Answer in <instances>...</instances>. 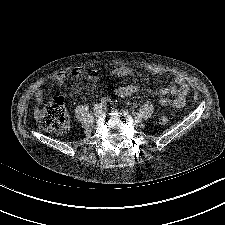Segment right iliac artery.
Segmentation results:
<instances>
[{
  "label": "right iliac artery",
  "instance_id": "1",
  "mask_svg": "<svg viewBox=\"0 0 225 225\" xmlns=\"http://www.w3.org/2000/svg\"><path fill=\"white\" fill-rule=\"evenodd\" d=\"M112 100L109 97H104L101 99V104H103L104 106H107L108 104H111Z\"/></svg>",
  "mask_w": 225,
  "mask_h": 225
}]
</instances>
